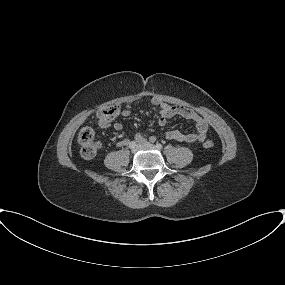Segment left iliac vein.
Wrapping results in <instances>:
<instances>
[{
    "instance_id": "left-iliac-vein-1",
    "label": "left iliac vein",
    "mask_w": 285,
    "mask_h": 285,
    "mask_svg": "<svg viewBox=\"0 0 285 285\" xmlns=\"http://www.w3.org/2000/svg\"><path fill=\"white\" fill-rule=\"evenodd\" d=\"M143 146L146 147V148H150V149H156V146L151 144V143H149V142H144Z\"/></svg>"
}]
</instances>
